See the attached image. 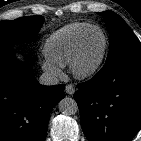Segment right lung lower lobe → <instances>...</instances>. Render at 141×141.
<instances>
[{
  "label": "right lung lower lobe",
  "mask_w": 141,
  "mask_h": 141,
  "mask_svg": "<svg viewBox=\"0 0 141 141\" xmlns=\"http://www.w3.org/2000/svg\"><path fill=\"white\" fill-rule=\"evenodd\" d=\"M62 98L64 85H40L12 48L0 52V141H44L49 112Z\"/></svg>",
  "instance_id": "1"
}]
</instances>
